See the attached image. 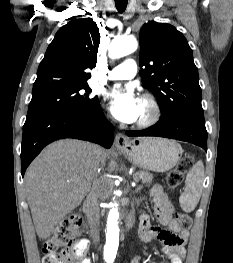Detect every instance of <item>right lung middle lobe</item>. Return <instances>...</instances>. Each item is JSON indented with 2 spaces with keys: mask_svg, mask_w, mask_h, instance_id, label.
I'll return each mask as SVG.
<instances>
[{
  "mask_svg": "<svg viewBox=\"0 0 233 263\" xmlns=\"http://www.w3.org/2000/svg\"><path fill=\"white\" fill-rule=\"evenodd\" d=\"M85 90V92H84ZM88 84L33 95L26 120L55 113H69L91 107L98 98L89 97Z\"/></svg>",
  "mask_w": 233,
  "mask_h": 263,
  "instance_id": "obj_1",
  "label": "right lung middle lobe"
}]
</instances>
